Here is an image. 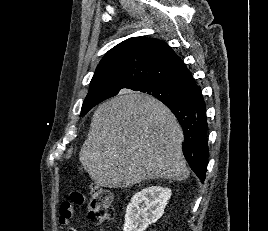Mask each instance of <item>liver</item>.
I'll return each instance as SVG.
<instances>
[{"instance_id": "liver-1", "label": "liver", "mask_w": 268, "mask_h": 231, "mask_svg": "<svg viewBox=\"0 0 268 231\" xmlns=\"http://www.w3.org/2000/svg\"><path fill=\"white\" fill-rule=\"evenodd\" d=\"M183 131L173 113L142 93L123 91L98 106L79 160L97 186L130 187L189 176Z\"/></svg>"}]
</instances>
